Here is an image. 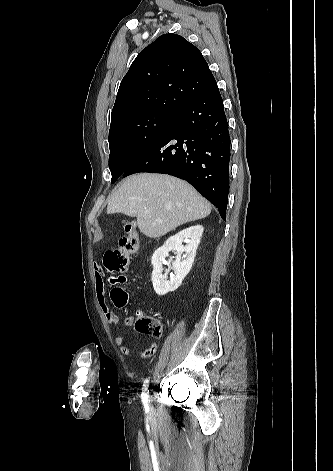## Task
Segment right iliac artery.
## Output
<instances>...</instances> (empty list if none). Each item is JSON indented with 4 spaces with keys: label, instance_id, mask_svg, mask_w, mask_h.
I'll return each instance as SVG.
<instances>
[{
    "label": "right iliac artery",
    "instance_id": "1",
    "mask_svg": "<svg viewBox=\"0 0 333 471\" xmlns=\"http://www.w3.org/2000/svg\"><path fill=\"white\" fill-rule=\"evenodd\" d=\"M148 384H149V380L146 379V380H144L143 387H142V402H143V405H144V408H145L146 411L149 410V406H148Z\"/></svg>",
    "mask_w": 333,
    "mask_h": 471
}]
</instances>
